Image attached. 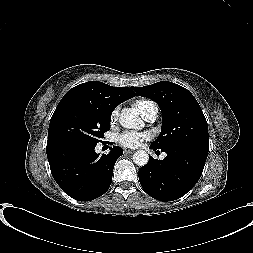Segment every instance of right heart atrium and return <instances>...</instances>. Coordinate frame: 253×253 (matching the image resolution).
I'll return each instance as SVG.
<instances>
[{
  "label": "right heart atrium",
  "instance_id": "obj_1",
  "mask_svg": "<svg viewBox=\"0 0 253 253\" xmlns=\"http://www.w3.org/2000/svg\"><path fill=\"white\" fill-rule=\"evenodd\" d=\"M117 114H118V110L115 109V110L112 112V120H114V119L117 117Z\"/></svg>",
  "mask_w": 253,
  "mask_h": 253
}]
</instances>
